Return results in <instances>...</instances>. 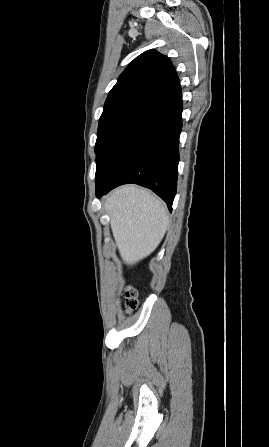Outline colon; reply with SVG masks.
Segmentation results:
<instances>
[{
    "mask_svg": "<svg viewBox=\"0 0 269 447\" xmlns=\"http://www.w3.org/2000/svg\"><path fill=\"white\" fill-rule=\"evenodd\" d=\"M139 294L136 289H128L123 295L124 312L127 314L136 309Z\"/></svg>",
    "mask_w": 269,
    "mask_h": 447,
    "instance_id": "1",
    "label": "colon"
}]
</instances>
